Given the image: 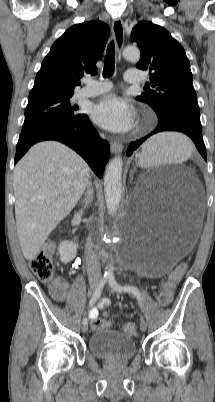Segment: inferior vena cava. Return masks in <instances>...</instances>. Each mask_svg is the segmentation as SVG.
<instances>
[{
	"label": "inferior vena cava",
	"instance_id": "1",
	"mask_svg": "<svg viewBox=\"0 0 215 402\" xmlns=\"http://www.w3.org/2000/svg\"><path fill=\"white\" fill-rule=\"evenodd\" d=\"M92 194L93 192L89 185L84 200L85 206L92 201ZM85 261L89 281L92 283H98L101 280V268L99 265V258L93 251L92 244L90 242L86 244Z\"/></svg>",
	"mask_w": 215,
	"mask_h": 402
}]
</instances>
